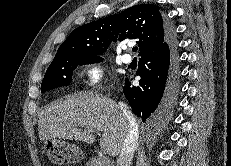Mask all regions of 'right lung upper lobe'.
I'll use <instances>...</instances> for the list:
<instances>
[{"label": "right lung upper lobe", "instance_id": "right-lung-upper-lobe-1", "mask_svg": "<svg viewBox=\"0 0 231 166\" xmlns=\"http://www.w3.org/2000/svg\"><path fill=\"white\" fill-rule=\"evenodd\" d=\"M127 38L137 40L141 57L148 55L167 41V21L156 6H133L117 15L74 29L58 48L54 60L71 56L102 55L112 42Z\"/></svg>", "mask_w": 231, "mask_h": 166}]
</instances>
